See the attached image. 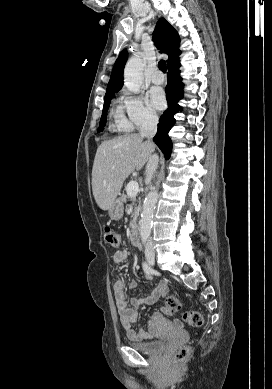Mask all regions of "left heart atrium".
Wrapping results in <instances>:
<instances>
[{
    "label": "left heart atrium",
    "mask_w": 272,
    "mask_h": 389,
    "mask_svg": "<svg viewBox=\"0 0 272 389\" xmlns=\"http://www.w3.org/2000/svg\"><path fill=\"white\" fill-rule=\"evenodd\" d=\"M150 106L155 110H163L166 106V100L161 90H152L149 93Z\"/></svg>",
    "instance_id": "obj_1"
}]
</instances>
